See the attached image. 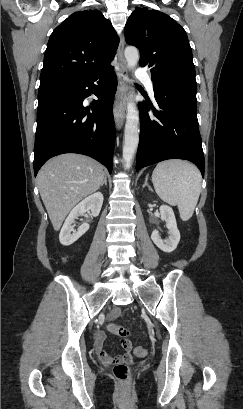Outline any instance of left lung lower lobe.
<instances>
[{
  "label": "left lung lower lobe",
  "mask_w": 243,
  "mask_h": 409,
  "mask_svg": "<svg viewBox=\"0 0 243 409\" xmlns=\"http://www.w3.org/2000/svg\"><path fill=\"white\" fill-rule=\"evenodd\" d=\"M158 109L139 105L140 139L136 171L167 159L193 162L204 176V155L196 112L195 74L179 73L153 81Z\"/></svg>",
  "instance_id": "obj_1"
}]
</instances>
